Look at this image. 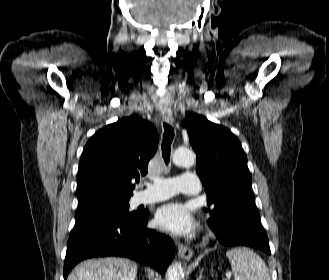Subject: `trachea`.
I'll use <instances>...</instances> for the list:
<instances>
[{
  "mask_svg": "<svg viewBox=\"0 0 329 280\" xmlns=\"http://www.w3.org/2000/svg\"><path fill=\"white\" fill-rule=\"evenodd\" d=\"M173 138H174L173 128L169 124L164 123V133H163L161 150H162L163 159L166 164L169 163L171 144H172Z\"/></svg>",
  "mask_w": 329,
  "mask_h": 280,
  "instance_id": "trachea-1",
  "label": "trachea"
}]
</instances>
